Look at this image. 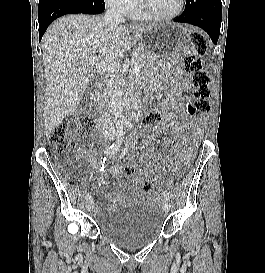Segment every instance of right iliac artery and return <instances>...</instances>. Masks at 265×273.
<instances>
[{
    "label": "right iliac artery",
    "instance_id": "obj_1",
    "mask_svg": "<svg viewBox=\"0 0 265 273\" xmlns=\"http://www.w3.org/2000/svg\"><path fill=\"white\" fill-rule=\"evenodd\" d=\"M123 125H119L118 128H117V140H116V143L112 144L110 147H108L106 150H105V154L107 156H113L117 153V151L119 150L122 142H123ZM92 196L91 194H87L86 195V199L87 200H91Z\"/></svg>",
    "mask_w": 265,
    "mask_h": 273
}]
</instances>
